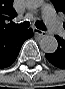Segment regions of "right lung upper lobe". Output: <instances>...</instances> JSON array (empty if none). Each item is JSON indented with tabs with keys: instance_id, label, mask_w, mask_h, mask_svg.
Here are the masks:
<instances>
[{
	"instance_id": "cb5924a9",
	"label": "right lung upper lobe",
	"mask_w": 65,
	"mask_h": 89,
	"mask_svg": "<svg viewBox=\"0 0 65 89\" xmlns=\"http://www.w3.org/2000/svg\"><path fill=\"white\" fill-rule=\"evenodd\" d=\"M12 1L13 0H0V34L17 30V28L12 25V22L9 23V21L16 16Z\"/></svg>"
}]
</instances>
